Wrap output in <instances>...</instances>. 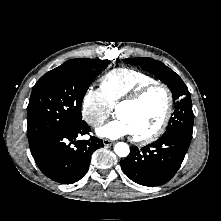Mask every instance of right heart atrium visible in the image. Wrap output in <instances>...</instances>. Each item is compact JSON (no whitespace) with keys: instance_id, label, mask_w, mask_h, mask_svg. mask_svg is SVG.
I'll use <instances>...</instances> for the list:
<instances>
[{"instance_id":"right-heart-atrium-1","label":"right heart atrium","mask_w":221,"mask_h":221,"mask_svg":"<svg viewBox=\"0 0 221 221\" xmlns=\"http://www.w3.org/2000/svg\"><path fill=\"white\" fill-rule=\"evenodd\" d=\"M113 107L109 104L101 89L89 87L83 95L81 114L91 127L100 126L111 114Z\"/></svg>"}]
</instances>
